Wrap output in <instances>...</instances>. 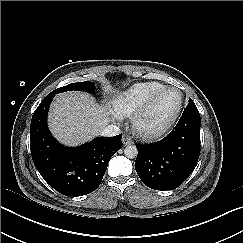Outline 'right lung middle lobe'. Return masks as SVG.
Here are the masks:
<instances>
[{
	"label": "right lung middle lobe",
	"instance_id": "right-lung-middle-lobe-1",
	"mask_svg": "<svg viewBox=\"0 0 243 243\" xmlns=\"http://www.w3.org/2000/svg\"><path fill=\"white\" fill-rule=\"evenodd\" d=\"M72 90L94 93L95 92V86H94V83L90 82V81H84V82H79V83H71L67 86L60 87V88L52 91L51 93L57 94V93H60V92L72 91Z\"/></svg>",
	"mask_w": 243,
	"mask_h": 243
}]
</instances>
